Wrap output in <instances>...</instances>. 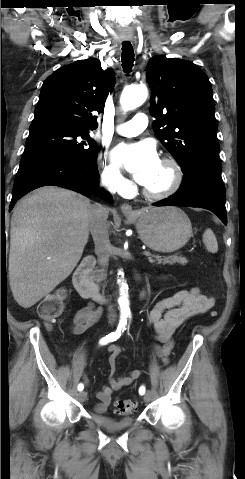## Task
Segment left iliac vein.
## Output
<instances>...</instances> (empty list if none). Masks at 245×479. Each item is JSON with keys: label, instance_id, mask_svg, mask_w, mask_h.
<instances>
[{"label": "left iliac vein", "instance_id": "left-iliac-vein-1", "mask_svg": "<svg viewBox=\"0 0 245 479\" xmlns=\"http://www.w3.org/2000/svg\"><path fill=\"white\" fill-rule=\"evenodd\" d=\"M150 396H151V394H150L149 392H147V393L144 395V401H145V402H149Z\"/></svg>", "mask_w": 245, "mask_h": 479}]
</instances>
